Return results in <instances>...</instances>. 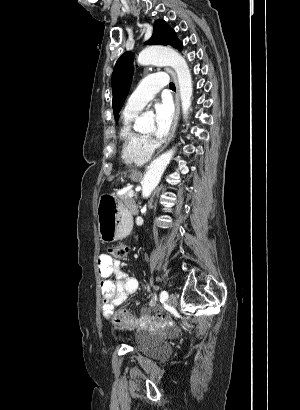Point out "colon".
I'll return each mask as SVG.
<instances>
[{"label":"colon","mask_w":300,"mask_h":410,"mask_svg":"<svg viewBox=\"0 0 300 410\" xmlns=\"http://www.w3.org/2000/svg\"><path fill=\"white\" fill-rule=\"evenodd\" d=\"M109 254L116 259H124L128 255V247L123 244L113 245L109 248ZM138 319L124 310H118L113 315V324L121 328H129L136 325Z\"/></svg>","instance_id":"obj_1"}]
</instances>
